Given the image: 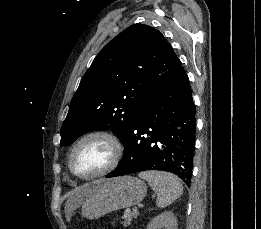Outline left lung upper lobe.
Returning a JSON list of instances; mask_svg holds the SVG:
<instances>
[{
  "label": "left lung upper lobe",
  "instance_id": "obj_1",
  "mask_svg": "<svg viewBox=\"0 0 261 229\" xmlns=\"http://www.w3.org/2000/svg\"><path fill=\"white\" fill-rule=\"evenodd\" d=\"M181 62L164 36L134 24L96 56L75 92L61 127V146L92 130H107L123 143L151 93Z\"/></svg>",
  "mask_w": 261,
  "mask_h": 229
}]
</instances>
